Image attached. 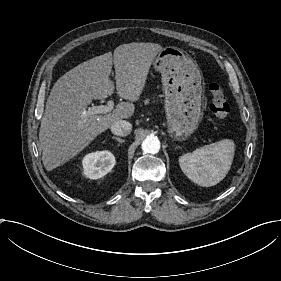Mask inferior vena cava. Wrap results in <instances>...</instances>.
I'll return each mask as SVG.
<instances>
[{"instance_id": "1", "label": "inferior vena cava", "mask_w": 281, "mask_h": 281, "mask_svg": "<svg viewBox=\"0 0 281 281\" xmlns=\"http://www.w3.org/2000/svg\"><path fill=\"white\" fill-rule=\"evenodd\" d=\"M111 131L114 135L127 136L132 131V125L128 121H117L111 126Z\"/></svg>"}]
</instances>
